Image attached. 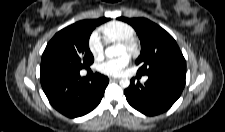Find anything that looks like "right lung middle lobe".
Returning <instances> with one entry per match:
<instances>
[{
    "label": "right lung middle lobe",
    "instance_id": "right-lung-middle-lobe-1",
    "mask_svg": "<svg viewBox=\"0 0 225 132\" xmlns=\"http://www.w3.org/2000/svg\"><path fill=\"white\" fill-rule=\"evenodd\" d=\"M109 18L83 20L72 24L54 35L47 44L41 60V73H79L94 61L89 49L93 29Z\"/></svg>",
    "mask_w": 225,
    "mask_h": 132
}]
</instances>
